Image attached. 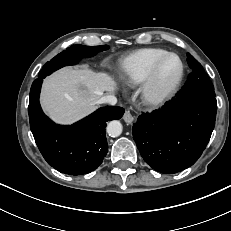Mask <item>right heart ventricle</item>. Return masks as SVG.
Instances as JSON below:
<instances>
[{
  "label": "right heart ventricle",
  "mask_w": 231,
  "mask_h": 231,
  "mask_svg": "<svg viewBox=\"0 0 231 231\" xmlns=\"http://www.w3.org/2000/svg\"><path fill=\"white\" fill-rule=\"evenodd\" d=\"M166 53L162 48H142L123 58L118 66L120 77L127 84H141L149 74L154 64Z\"/></svg>",
  "instance_id": "obj_1"
}]
</instances>
